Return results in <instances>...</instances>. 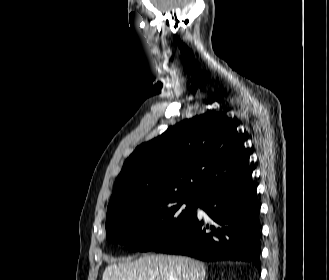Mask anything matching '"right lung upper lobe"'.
<instances>
[{"label":"right lung upper lobe","mask_w":329,"mask_h":280,"mask_svg":"<svg viewBox=\"0 0 329 280\" xmlns=\"http://www.w3.org/2000/svg\"><path fill=\"white\" fill-rule=\"evenodd\" d=\"M244 141L223 113L209 110L183 120L129 156L108 208L147 196L199 198L213 182L249 160Z\"/></svg>","instance_id":"obj_1"}]
</instances>
